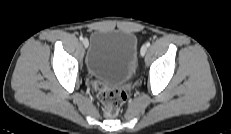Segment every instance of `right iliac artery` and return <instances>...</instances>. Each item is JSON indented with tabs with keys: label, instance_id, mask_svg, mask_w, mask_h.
I'll return each mask as SVG.
<instances>
[{
	"label": "right iliac artery",
	"instance_id": "82829eb1",
	"mask_svg": "<svg viewBox=\"0 0 231 134\" xmlns=\"http://www.w3.org/2000/svg\"><path fill=\"white\" fill-rule=\"evenodd\" d=\"M79 38H80V40H83V37H82V36H80Z\"/></svg>",
	"mask_w": 231,
	"mask_h": 134
}]
</instances>
